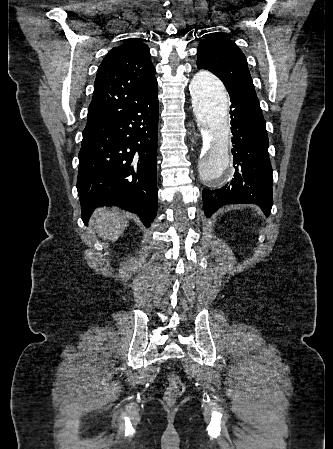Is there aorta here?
I'll use <instances>...</instances> for the list:
<instances>
[{"mask_svg": "<svg viewBox=\"0 0 333 449\" xmlns=\"http://www.w3.org/2000/svg\"><path fill=\"white\" fill-rule=\"evenodd\" d=\"M190 93L197 122L209 139L207 148L196 159L197 177L216 190L224 185L231 165L229 96L222 82L206 69L197 70Z\"/></svg>", "mask_w": 333, "mask_h": 449, "instance_id": "obj_1", "label": "aorta"}]
</instances>
